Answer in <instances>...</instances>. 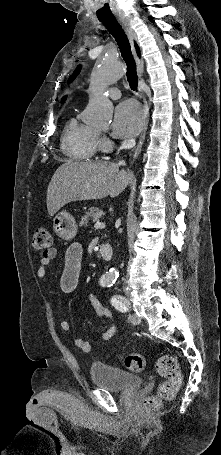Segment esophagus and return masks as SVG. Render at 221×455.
Segmentation results:
<instances>
[{
  "instance_id": "1",
  "label": "esophagus",
  "mask_w": 221,
  "mask_h": 455,
  "mask_svg": "<svg viewBox=\"0 0 221 455\" xmlns=\"http://www.w3.org/2000/svg\"><path fill=\"white\" fill-rule=\"evenodd\" d=\"M116 19L120 23L122 28L124 29L125 33L127 34L128 38L131 42L132 52H133V55L135 57L136 64H137V74H138V77L141 79L143 77V72H144V62H143V59H140L137 56V53L135 50L134 41L137 40L136 33L133 30V28L131 27L129 20L124 15H117ZM138 91L140 93V97L142 99L144 109H145V122H144V127L142 130V133L139 137L138 145H137L134 155H133V160H135L138 157V155L141 151L142 145H143L145 137H146V132H147L148 123H149V105H148V102L146 100V97H145V94L143 92L141 85H139Z\"/></svg>"
}]
</instances>
